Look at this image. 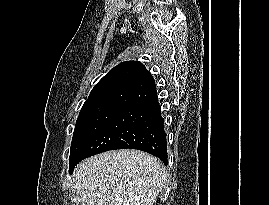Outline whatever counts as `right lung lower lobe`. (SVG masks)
I'll use <instances>...</instances> for the list:
<instances>
[{
    "label": "right lung lower lobe",
    "instance_id": "right-lung-lower-lobe-1",
    "mask_svg": "<svg viewBox=\"0 0 269 205\" xmlns=\"http://www.w3.org/2000/svg\"><path fill=\"white\" fill-rule=\"evenodd\" d=\"M125 148L148 152L167 165L164 119L157 96L127 107L113 117L82 148L75 165L95 154Z\"/></svg>",
    "mask_w": 269,
    "mask_h": 205
}]
</instances>
